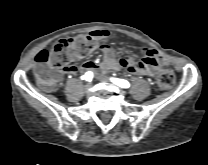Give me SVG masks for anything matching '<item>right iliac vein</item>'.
Listing matches in <instances>:
<instances>
[{
    "label": "right iliac vein",
    "instance_id": "obj_1",
    "mask_svg": "<svg viewBox=\"0 0 208 165\" xmlns=\"http://www.w3.org/2000/svg\"><path fill=\"white\" fill-rule=\"evenodd\" d=\"M93 84L92 83H87L85 86V90L89 91L92 88Z\"/></svg>",
    "mask_w": 208,
    "mask_h": 165
}]
</instances>
